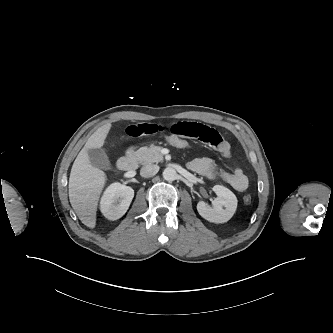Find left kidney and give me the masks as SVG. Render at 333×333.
Wrapping results in <instances>:
<instances>
[{"label": "left kidney", "instance_id": "1", "mask_svg": "<svg viewBox=\"0 0 333 333\" xmlns=\"http://www.w3.org/2000/svg\"><path fill=\"white\" fill-rule=\"evenodd\" d=\"M213 191L217 198L212 206L204 201H199L197 211L201 217L213 223H225L234 215L237 208V198L235 194L222 185H215Z\"/></svg>", "mask_w": 333, "mask_h": 333}]
</instances>
